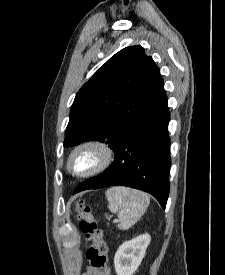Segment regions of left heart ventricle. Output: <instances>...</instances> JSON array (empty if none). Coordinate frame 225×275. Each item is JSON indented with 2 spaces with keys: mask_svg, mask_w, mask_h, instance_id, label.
<instances>
[{
  "mask_svg": "<svg viewBox=\"0 0 225 275\" xmlns=\"http://www.w3.org/2000/svg\"><path fill=\"white\" fill-rule=\"evenodd\" d=\"M94 161L95 157L92 154H82L75 159L73 166L76 170H83L92 165Z\"/></svg>",
  "mask_w": 225,
  "mask_h": 275,
  "instance_id": "1",
  "label": "left heart ventricle"
}]
</instances>
